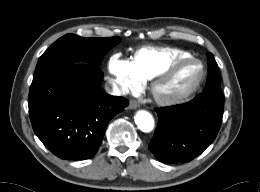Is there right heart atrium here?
Segmentation results:
<instances>
[{
	"instance_id": "obj_1",
	"label": "right heart atrium",
	"mask_w": 260,
	"mask_h": 192,
	"mask_svg": "<svg viewBox=\"0 0 260 192\" xmlns=\"http://www.w3.org/2000/svg\"><path fill=\"white\" fill-rule=\"evenodd\" d=\"M108 69L122 91H135L141 87L143 80L135 71L132 62L113 55L109 59Z\"/></svg>"
}]
</instances>
